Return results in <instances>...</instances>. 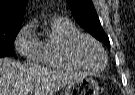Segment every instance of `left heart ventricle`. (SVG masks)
Returning a JSON list of instances; mask_svg holds the SVG:
<instances>
[{
  "mask_svg": "<svg viewBox=\"0 0 135 95\" xmlns=\"http://www.w3.org/2000/svg\"><path fill=\"white\" fill-rule=\"evenodd\" d=\"M75 55L78 60L93 69L101 68L104 59L100 50L88 40H80L75 47Z\"/></svg>",
  "mask_w": 135,
  "mask_h": 95,
  "instance_id": "left-heart-ventricle-1",
  "label": "left heart ventricle"
}]
</instances>
